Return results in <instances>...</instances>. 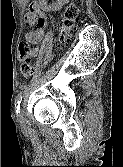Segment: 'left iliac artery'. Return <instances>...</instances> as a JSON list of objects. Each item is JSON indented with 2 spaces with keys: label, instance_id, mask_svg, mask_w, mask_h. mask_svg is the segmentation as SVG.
Listing matches in <instances>:
<instances>
[{
  "label": "left iliac artery",
  "instance_id": "44dca946",
  "mask_svg": "<svg viewBox=\"0 0 123 167\" xmlns=\"http://www.w3.org/2000/svg\"><path fill=\"white\" fill-rule=\"evenodd\" d=\"M22 98H23V93L20 92L17 96H16V99H15V112L16 114H20V104H21V101H22Z\"/></svg>",
  "mask_w": 123,
  "mask_h": 167
}]
</instances>
